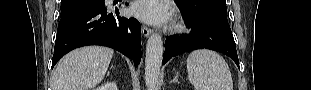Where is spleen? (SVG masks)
<instances>
[{"mask_svg":"<svg viewBox=\"0 0 311 90\" xmlns=\"http://www.w3.org/2000/svg\"><path fill=\"white\" fill-rule=\"evenodd\" d=\"M190 83L195 90H233L231 72L226 61L211 50H195L187 58Z\"/></svg>","mask_w":311,"mask_h":90,"instance_id":"3e777b00","label":"spleen"}]
</instances>
